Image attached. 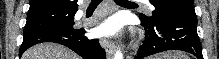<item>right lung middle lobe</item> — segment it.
I'll use <instances>...</instances> for the list:
<instances>
[{"instance_id": "obj_1", "label": "right lung middle lobe", "mask_w": 219, "mask_h": 59, "mask_svg": "<svg viewBox=\"0 0 219 59\" xmlns=\"http://www.w3.org/2000/svg\"><path fill=\"white\" fill-rule=\"evenodd\" d=\"M76 11L47 9L28 12L24 35L52 28H73Z\"/></svg>"}]
</instances>
